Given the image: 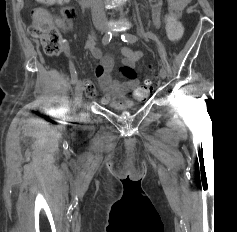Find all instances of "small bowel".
<instances>
[{
  "instance_id": "small-bowel-1",
  "label": "small bowel",
  "mask_w": 237,
  "mask_h": 232,
  "mask_svg": "<svg viewBox=\"0 0 237 232\" xmlns=\"http://www.w3.org/2000/svg\"><path fill=\"white\" fill-rule=\"evenodd\" d=\"M69 0H66L68 2ZM163 0H149L153 15V22L156 27L161 25V8ZM190 0H167L169 14L179 18L184 8ZM64 9L62 10L63 13ZM57 26L63 31H69L72 28V22L64 17L56 20ZM91 55L99 60V65L95 70L100 88L103 91L101 103L123 104L128 102L127 95H131L134 99L142 101L147 98L149 90L142 86L139 82L137 71L135 69L137 62L143 57L142 51H134L128 47L120 48L122 55V64L119 73L124 77V81H117L112 78L114 61L110 55H104L92 40L86 45ZM64 52L69 54L70 49L64 44ZM84 87L88 96L93 97L96 89L90 81H85Z\"/></svg>"
}]
</instances>
